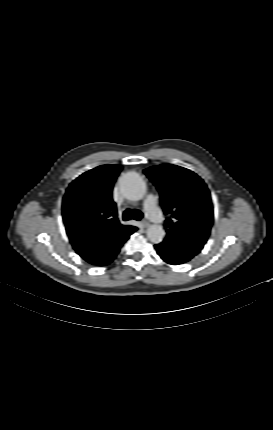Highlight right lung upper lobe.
<instances>
[{"instance_id":"1","label":"right lung upper lobe","mask_w":273,"mask_h":430,"mask_svg":"<svg viewBox=\"0 0 273 430\" xmlns=\"http://www.w3.org/2000/svg\"><path fill=\"white\" fill-rule=\"evenodd\" d=\"M122 167L102 165L89 170L68 187L62 204L63 221L75 251L92 262L106 243H123L136 227L122 225L112 199L114 182Z\"/></svg>"}]
</instances>
